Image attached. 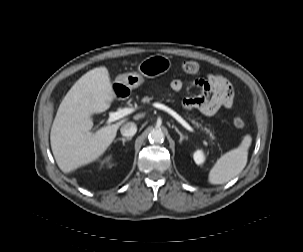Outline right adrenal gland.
Listing matches in <instances>:
<instances>
[{"label":"right adrenal gland","instance_id":"right-adrenal-gland-1","mask_svg":"<svg viewBox=\"0 0 303 252\" xmlns=\"http://www.w3.org/2000/svg\"><path fill=\"white\" fill-rule=\"evenodd\" d=\"M132 138L131 137H128V138H118V139H116L115 141H122V143H123V145H125V142L126 141H130Z\"/></svg>","mask_w":303,"mask_h":252}]
</instances>
